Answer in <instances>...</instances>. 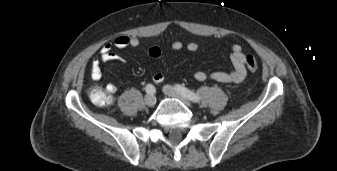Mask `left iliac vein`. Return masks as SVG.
<instances>
[{"label": "left iliac vein", "instance_id": "obj_1", "mask_svg": "<svg viewBox=\"0 0 337 171\" xmlns=\"http://www.w3.org/2000/svg\"><path fill=\"white\" fill-rule=\"evenodd\" d=\"M163 92L169 96V97H172V98H177L179 99L181 102H183L186 106L188 107H191L192 104L191 102L186 99L183 95H181L178 91H176L172 86L170 85H165L163 87Z\"/></svg>", "mask_w": 337, "mask_h": 171}]
</instances>
